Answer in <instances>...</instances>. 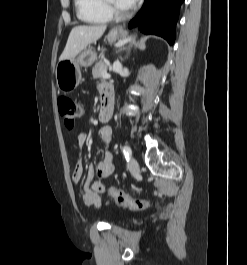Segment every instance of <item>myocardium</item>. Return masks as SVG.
I'll return each instance as SVG.
<instances>
[{
  "label": "myocardium",
  "instance_id": "myocardium-1",
  "mask_svg": "<svg viewBox=\"0 0 247 265\" xmlns=\"http://www.w3.org/2000/svg\"><path fill=\"white\" fill-rule=\"evenodd\" d=\"M106 8L111 16H115L117 18H124L128 15V12L125 10L119 9L111 0H105Z\"/></svg>",
  "mask_w": 247,
  "mask_h": 265
}]
</instances>
